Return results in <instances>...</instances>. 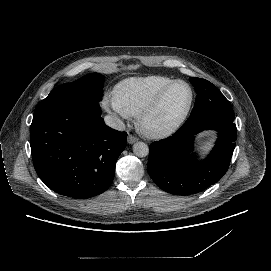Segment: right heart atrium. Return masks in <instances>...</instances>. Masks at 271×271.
Here are the masks:
<instances>
[{"instance_id":"right-heart-atrium-1","label":"right heart atrium","mask_w":271,"mask_h":271,"mask_svg":"<svg viewBox=\"0 0 271 271\" xmlns=\"http://www.w3.org/2000/svg\"><path fill=\"white\" fill-rule=\"evenodd\" d=\"M107 103L118 116H120L121 118L127 117L126 112L124 111L117 97L114 94L111 93L107 96Z\"/></svg>"}]
</instances>
